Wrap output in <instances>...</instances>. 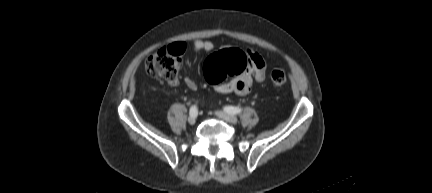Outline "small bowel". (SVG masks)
<instances>
[{
  "mask_svg": "<svg viewBox=\"0 0 432 193\" xmlns=\"http://www.w3.org/2000/svg\"><path fill=\"white\" fill-rule=\"evenodd\" d=\"M214 44L208 40H195L193 42V50L195 52H210L214 49ZM246 54L250 60V66L241 75L236 76L229 82H221L216 84L215 89L220 94H235L238 96H246L250 93L254 81L262 82L266 78V63L258 53L247 50ZM177 84V82H174ZM185 84L189 89H196L197 83L191 77L185 78Z\"/></svg>",
  "mask_w": 432,
  "mask_h": 193,
  "instance_id": "c3829d8e",
  "label": "small bowel"
}]
</instances>
